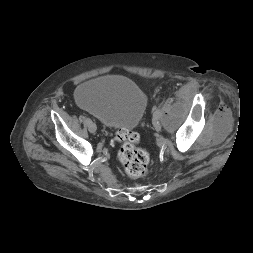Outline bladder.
Wrapping results in <instances>:
<instances>
[{
	"label": "bladder",
	"mask_w": 253,
	"mask_h": 253,
	"mask_svg": "<svg viewBox=\"0 0 253 253\" xmlns=\"http://www.w3.org/2000/svg\"><path fill=\"white\" fill-rule=\"evenodd\" d=\"M78 105L96 116L103 126L131 130L142 119L148 104L145 92L131 79L103 76L77 86Z\"/></svg>",
	"instance_id": "bladder-1"
}]
</instances>
